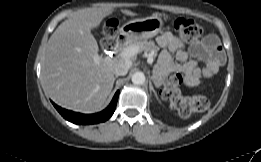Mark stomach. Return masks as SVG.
Wrapping results in <instances>:
<instances>
[{
	"label": "stomach",
	"mask_w": 261,
	"mask_h": 162,
	"mask_svg": "<svg viewBox=\"0 0 261 162\" xmlns=\"http://www.w3.org/2000/svg\"><path fill=\"white\" fill-rule=\"evenodd\" d=\"M163 25V19L160 16L153 15L125 23L121 27L120 33L131 41L148 39L156 36L161 31Z\"/></svg>",
	"instance_id": "stomach-1"
}]
</instances>
